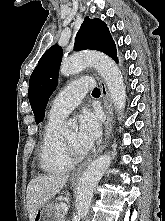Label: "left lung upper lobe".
<instances>
[{
    "label": "left lung upper lobe",
    "mask_w": 165,
    "mask_h": 221,
    "mask_svg": "<svg viewBox=\"0 0 165 221\" xmlns=\"http://www.w3.org/2000/svg\"><path fill=\"white\" fill-rule=\"evenodd\" d=\"M85 49L101 51L117 61L112 36L107 25L98 18L86 17L77 33L74 50ZM61 60L62 48L54 45L43 54L31 74L28 96L37 124L43 120L48 100L57 86Z\"/></svg>",
    "instance_id": "5c2ea615"
}]
</instances>
